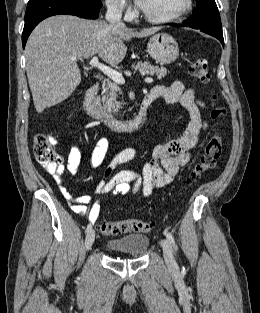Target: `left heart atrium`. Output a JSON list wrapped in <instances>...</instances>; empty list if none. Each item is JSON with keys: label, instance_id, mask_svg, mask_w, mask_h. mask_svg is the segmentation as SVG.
I'll use <instances>...</instances> for the list:
<instances>
[{"label": "left heart atrium", "instance_id": "39dd6f15", "mask_svg": "<svg viewBox=\"0 0 260 313\" xmlns=\"http://www.w3.org/2000/svg\"><path fill=\"white\" fill-rule=\"evenodd\" d=\"M137 3H138L139 5H141L142 0H137Z\"/></svg>", "mask_w": 260, "mask_h": 313}]
</instances>
